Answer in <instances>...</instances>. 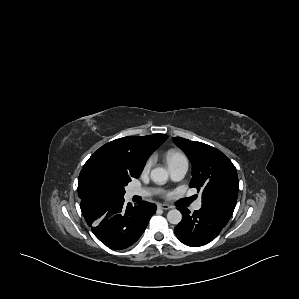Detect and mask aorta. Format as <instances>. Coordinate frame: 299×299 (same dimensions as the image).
I'll return each mask as SVG.
<instances>
[{"label": "aorta", "instance_id": "obj_1", "mask_svg": "<svg viewBox=\"0 0 299 299\" xmlns=\"http://www.w3.org/2000/svg\"><path fill=\"white\" fill-rule=\"evenodd\" d=\"M151 180L155 183L162 184L168 179V172L166 169L157 167L152 169L150 174ZM167 220L169 223L177 225L182 220V214L177 209H172L167 213Z\"/></svg>", "mask_w": 299, "mask_h": 299}]
</instances>
